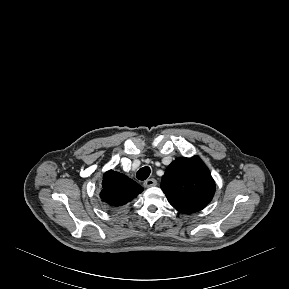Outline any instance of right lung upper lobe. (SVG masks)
Here are the masks:
<instances>
[{
  "label": "right lung upper lobe",
  "instance_id": "cb5924a9",
  "mask_svg": "<svg viewBox=\"0 0 289 289\" xmlns=\"http://www.w3.org/2000/svg\"><path fill=\"white\" fill-rule=\"evenodd\" d=\"M102 187L101 199L114 207L132 201L143 191V188L135 181L113 170H109L104 174Z\"/></svg>",
  "mask_w": 289,
  "mask_h": 289
}]
</instances>
